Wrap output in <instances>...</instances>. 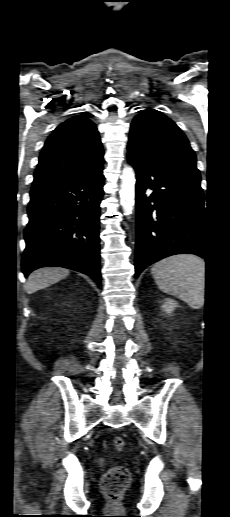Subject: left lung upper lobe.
Instances as JSON below:
<instances>
[{
    "label": "left lung upper lobe",
    "instance_id": "1",
    "mask_svg": "<svg viewBox=\"0 0 230 517\" xmlns=\"http://www.w3.org/2000/svg\"><path fill=\"white\" fill-rule=\"evenodd\" d=\"M128 154L166 170L200 177L196 156L184 133L154 109L142 110L133 119Z\"/></svg>",
    "mask_w": 230,
    "mask_h": 517
}]
</instances>
